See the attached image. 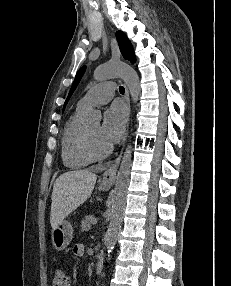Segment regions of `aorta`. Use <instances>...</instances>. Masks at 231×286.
<instances>
[{
    "mask_svg": "<svg viewBox=\"0 0 231 286\" xmlns=\"http://www.w3.org/2000/svg\"><path fill=\"white\" fill-rule=\"evenodd\" d=\"M113 77H120L126 84L132 100L136 103L140 95V82L137 72L129 65L124 63H106L96 68L94 78L104 80ZM101 120V113L98 110L91 109L86 114V121L98 124ZM132 146L128 145L121 160L120 168L117 173L113 198L111 202L110 223L106 233V248L108 260L112 253L117 235L121 229L123 215L126 206L127 190L129 185V176L131 168Z\"/></svg>",
    "mask_w": 231,
    "mask_h": 286,
    "instance_id": "1",
    "label": "aorta"
}]
</instances>
